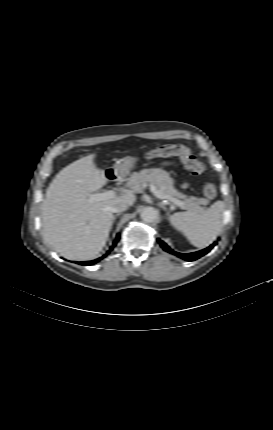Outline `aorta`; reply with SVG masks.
Instances as JSON below:
<instances>
[{"mask_svg":"<svg viewBox=\"0 0 273 430\" xmlns=\"http://www.w3.org/2000/svg\"><path fill=\"white\" fill-rule=\"evenodd\" d=\"M158 210L153 207H146L141 213L143 221L152 223L158 218Z\"/></svg>","mask_w":273,"mask_h":430,"instance_id":"aorta-1","label":"aorta"}]
</instances>
